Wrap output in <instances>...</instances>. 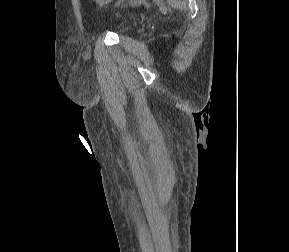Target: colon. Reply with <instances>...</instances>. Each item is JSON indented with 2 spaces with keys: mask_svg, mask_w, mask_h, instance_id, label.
Instances as JSON below:
<instances>
[{
  "mask_svg": "<svg viewBox=\"0 0 289 252\" xmlns=\"http://www.w3.org/2000/svg\"><path fill=\"white\" fill-rule=\"evenodd\" d=\"M141 2V0H136V3L135 4H138V3H140Z\"/></svg>",
  "mask_w": 289,
  "mask_h": 252,
  "instance_id": "5ec220e1",
  "label": "colon"
}]
</instances>
